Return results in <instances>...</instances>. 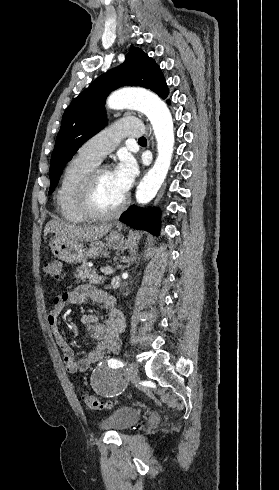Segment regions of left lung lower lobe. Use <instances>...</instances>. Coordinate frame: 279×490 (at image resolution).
Listing matches in <instances>:
<instances>
[{"mask_svg": "<svg viewBox=\"0 0 279 490\" xmlns=\"http://www.w3.org/2000/svg\"><path fill=\"white\" fill-rule=\"evenodd\" d=\"M120 221L135 228L148 231L153 235L159 234L160 212L157 209H141L131 206L125 211Z\"/></svg>", "mask_w": 279, "mask_h": 490, "instance_id": "1", "label": "left lung lower lobe"}]
</instances>
